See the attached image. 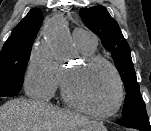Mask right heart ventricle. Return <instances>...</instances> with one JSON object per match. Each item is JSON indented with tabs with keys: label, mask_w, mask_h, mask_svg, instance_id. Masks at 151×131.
<instances>
[{
	"label": "right heart ventricle",
	"mask_w": 151,
	"mask_h": 131,
	"mask_svg": "<svg viewBox=\"0 0 151 131\" xmlns=\"http://www.w3.org/2000/svg\"><path fill=\"white\" fill-rule=\"evenodd\" d=\"M77 45H78V48H79V50H80V52L82 53L83 56L93 55L94 52H95V47H88V46H85V45H82V44H77ZM61 72H62L61 81H63L66 70L61 67Z\"/></svg>",
	"instance_id": "obj_1"
}]
</instances>
